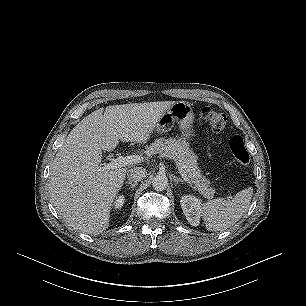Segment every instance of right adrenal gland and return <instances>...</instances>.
Wrapping results in <instances>:
<instances>
[{
    "label": "right adrenal gland",
    "mask_w": 306,
    "mask_h": 306,
    "mask_svg": "<svg viewBox=\"0 0 306 306\" xmlns=\"http://www.w3.org/2000/svg\"><path fill=\"white\" fill-rule=\"evenodd\" d=\"M126 186H130L132 188V190L135 188V186L137 185L136 182H131V181H127L126 183Z\"/></svg>",
    "instance_id": "2a0ac1e0"
}]
</instances>
